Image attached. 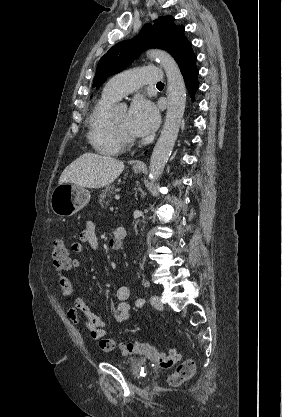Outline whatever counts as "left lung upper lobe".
I'll return each mask as SVG.
<instances>
[{
	"label": "left lung upper lobe",
	"mask_w": 282,
	"mask_h": 417,
	"mask_svg": "<svg viewBox=\"0 0 282 417\" xmlns=\"http://www.w3.org/2000/svg\"><path fill=\"white\" fill-rule=\"evenodd\" d=\"M172 16H161L153 24H146L131 40L114 45L99 61L93 87H100L112 74L128 67L137 56L149 48L167 50L173 57L189 41L184 36V27L176 26Z\"/></svg>",
	"instance_id": "5c2ea615"
}]
</instances>
